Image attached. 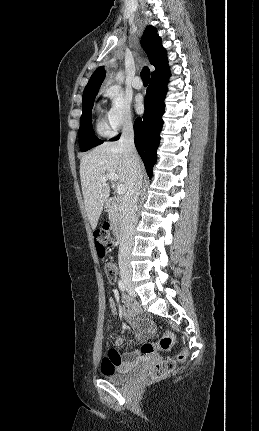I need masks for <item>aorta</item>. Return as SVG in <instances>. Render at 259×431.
Here are the masks:
<instances>
[{"label": "aorta", "instance_id": "aorta-1", "mask_svg": "<svg viewBox=\"0 0 259 431\" xmlns=\"http://www.w3.org/2000/svg\"><path fill=\"white\" fill-rule=\"evenodd\" d=\"M116 80L118 83L124 82V73L122 71H120L116 74Z\"/></svg>", "mask_w": 259, "mask_h": 431}]
</instances>
